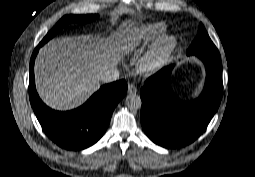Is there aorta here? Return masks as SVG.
I'll use <instances>...</instances> for the list:
<instances>
[{
	"label": "aorta",
	"mask_w": 255,
	"mask_h": 177,
	"mask_svg": "<svg viewBox=\"0 0 255 177\" xmlns=\"http://www.w3.org/2000/svg\"><path fill=\"white\" fill-rule=\"evenodd\" d=\"M125 103L130 110H139L142 106L141 98L136 94L128 95L126 97Z\"/></svg>",
	"instance_id": "aorta-1"
}]
</instances>
